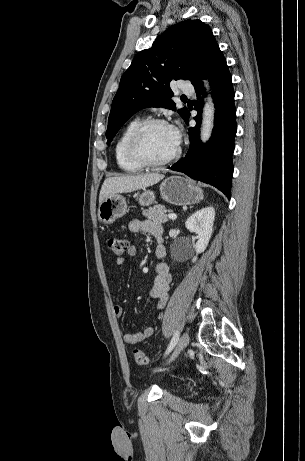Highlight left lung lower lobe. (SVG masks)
Segmentation results:
<instances>
[{"label":"left lung lower lobe","mask_w":305,"mask_h":461,"mask_svg":"<svg viewBox=\"0 0 305 461\" xmlns=\"http://www.w3.org/2000/svg\"><path fill=\"white\" fill-rule=\"evenodd\" d=\"M211 83L212 97L215 104L214 129L210 140L202 144L199 139L202 96H205L201 78L194 84L198 101L195 102L197 116L196 126L189 129L190 146L186 156L173 164L170 169L183 172L189 177L211 184L221 190L228 198L231 194L233 175L232 154L236 135V109L232 77L226 60L220 51L215 61L203 75ZM190 113L184 121L188 124Z\"/></svg>","instance_id":"obj_1"}]
</instances>
